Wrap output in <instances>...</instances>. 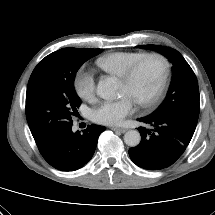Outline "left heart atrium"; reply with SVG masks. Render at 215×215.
Here are the masks:
<instances>
[{
	"instance_id": "obj_1",
	"label": "left heart atrium",
	"mask_w": 215,
	"mask_h": 215,
	"mask_svg": "<svg viewBox=\"0 0 215 215\" xmlns=\"http://www.w3.org/2000/svg\"><path fill=\"white\" fill-rule=\"evenodd\" d=\"M134 100L129 95H123L115 101L102 102L93 111V120L103 125H119L126 116L134 111Z\"/></svg>"
}]
</instances>
